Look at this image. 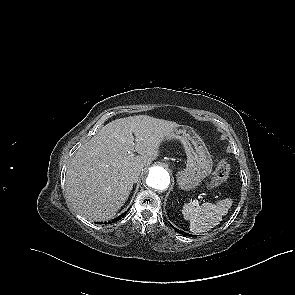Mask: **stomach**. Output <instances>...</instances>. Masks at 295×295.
Masks as SVG:
<instances>
[{
  "mask_svg": "<svg viewBox=\"0 0 295 295\" xmlns=\"http://www.w3.org/2000/svg\"><path fill=\"white\" fill-rule=\"evenodd\" d=\"M165 139H178L184 146L187 156L185 169L177 172L180 189H195L212 172L213 161L202 139L187 127L175 128Z\"/></svg>",
  "mask_w": 295,
  "mask_h": 295,
  "instance_id": "obj_1",
  "label": "stomach"
}]
</instances>
